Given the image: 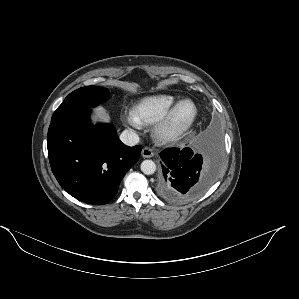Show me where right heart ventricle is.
Wrapping results in <instances>:
<instances>
[{
    "label": "right heart ventricle",
    "mask_w": 299,
    "mask_h": 299,
    "mask_svg": "<svg viewBox=\"0 0 299 299\" xmlns=\"http://www.w3.org/2000/svg\"><path fill=\"white\" fill-rule=\"evenodd\" d=\"M175 103L176 98L172 95H151L139 100L133 107V113L142 124H153Z\"/></svg>",
    "instance_id": "obj_1"
}]
</instances>
